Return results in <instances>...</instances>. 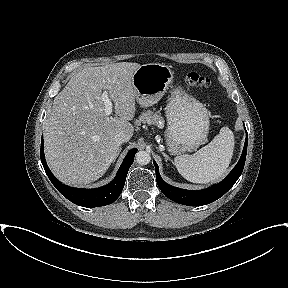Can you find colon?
Returning a JSON list of instances; mask_svg holds the SVG:
<instances>
[{
  "label": "colon",
  "mask_w": 288,
  "mask_h": 288,
  "mask_svg": "<svg viewBox=\"0 0 288 288\" xmlns=\"http://www.w3.org/2000/svg\"><path fill=\"white\" fill-rule=\"evenodd\" d=\"M184 83L189 88L193 89H210L212 88L211 82L206 77L197 73H189L184 78Z\"/></svg>",
  "instance_id": "obj_1"
}]
</instances>
